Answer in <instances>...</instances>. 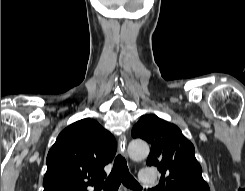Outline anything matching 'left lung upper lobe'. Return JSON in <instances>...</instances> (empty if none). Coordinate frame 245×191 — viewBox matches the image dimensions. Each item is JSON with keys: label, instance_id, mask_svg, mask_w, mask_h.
Segmentation results:
<instances>
[{"label": "left lung upper lobe", "instance_id": "1", "mask_svg": "<svg viewBox=\"0 0 245 191\" xmlns=\"http://www.w3.org/2000/svg\"><path fill=\"white\" fill-rule=\"evenodd\" d=\"M131 134L151 144L147 165L161 172V191H210L194 145L175 124L151 114L142 117Z\"/></svg>", "mask_w": 245, "mask_h": 191}]
</instances>
